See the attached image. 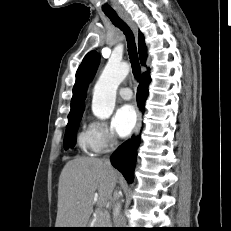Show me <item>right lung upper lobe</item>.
<instances>
[{
	"instance_id": "obj_1",
	"label": "right lung upper lobe",
	"mask_w": 231,
	"mask_h": 231,
	"mask_svg": "<svg viewBox=\"0 0 231 231\" xmlns=\"http://www.w3.org/2000/svg\"><path fill=\"white\" fill-rule=\"evenodd\" d=\"M139 57L142 65L146 62V45L144 42V36L139 32L138 36ZM95 56V52H89L83 59L76 72V82L73 87V96L71 99V110L68 117L76 116L83 113L86 98V89L88 87V73L92 63V59ZM149 73L142 74V78L148 77Z\"/></svg>"
}]
</instances>
